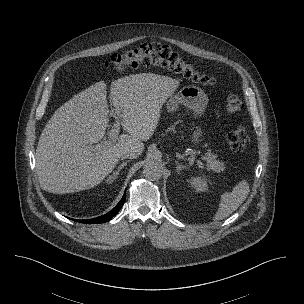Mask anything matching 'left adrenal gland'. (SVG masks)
I'll return each mask as SVG.
<instances>
[{
	"label": "left adrenal gland",
	"mask_w": 304,
	"mask_h": 304,
	"mask_svg": "<svg viewBox=\"0 0 304 304\" xmlns=\"http://www.w3.org/2000/svg\"><path fill=\"white\" fill-rule=\"evenodd\" d=\"M175 162H176V170H177V172H180V170L186 168V165H183L179 161H175Z\"/></svg>",
	"instance_id": "left-adrenal-gland-1"
}]
</instances>
